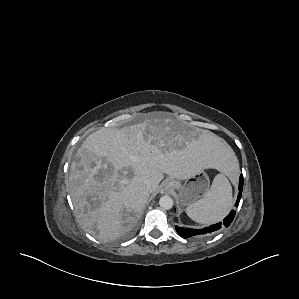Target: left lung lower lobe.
I'll use <instances>...</instances> for the list:
<instances>
[{
	"instance_id": "left-lung-lower-lobe-1",
	"label": "left lung lower lobe",
	"mask_w": 299,
	"mask_h": 299,
	"mask_svg": "<svg viewBox=\"0 0 299 299\" xmlns=\"http://www.w3.org/2000/svg\"><path fill=\"white\" fill-rule=\"evenodd\" d=\"M242 190H243V175L240 176V180H239V194H238V198L236 201V206L239 205ZM235 214H236L235 210H232L229 213V215L223 220V223H217L215 225H212L210 227H207V228H204L201 230H196V229H191V228H183V227H178V226H176L175 228H176L178 234L183 238L194 237L197 235L210 234V233H213V232L219 230L222 226L228 227L231 224V222L233 221Z\"/></svg>"
}]
</instances>
